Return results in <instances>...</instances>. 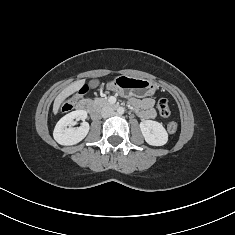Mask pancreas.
Masks as SVG:
<instances>
[{
    "instance_id": "pancreas-1",
    "label": "pancreas",
    "mask_w": 235,
    "mask_h": 235,
    "mask_svg": "<svg viewBox=\"0 0 235 235\" xmlns=\"http://www.w3.org/2000/svg\"><path fill=\"white\" fill-rule=\"evenodd\" d=\"M94 104L98 105V106H106L109 103H108L107 99H105V98H96L94 100Z\"/></svg>"
}]
</instances>
